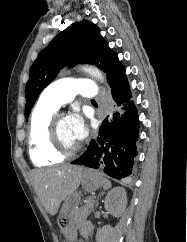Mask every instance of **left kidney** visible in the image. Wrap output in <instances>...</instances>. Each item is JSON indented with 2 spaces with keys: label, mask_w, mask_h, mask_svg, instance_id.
Listing matches in <instances>:
<instances>
[{
  "label": "left kidney",
  "mask_w": 187,
  "mask_h": 242,
  "mask_svg": "<svg viewBox=\"0 0 187 242\" xmlns=\"http://www.w3.org/2000/svg\"><path fill=\"white\" fill-rule=\"evenodd\" d=\"M105 209L115 217L123 214L127 205V195L123 187H115L111 189L104 200ZM111 227L109 225L99 229L96 234L97 242H102L109 232Z\"/></svg>",
  "instance_id": "5707ae66"
}]
</instances>
